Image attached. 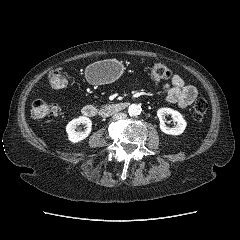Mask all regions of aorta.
I'll list each match as a JSON object with an SVG mask.
<instances>
[{
	"label": "aorta",
	"instance_id": "1",
	"mask_svg": "<svg viewBox=\"0 0 240 240\" xmlns=\"http://www.w3.org/2000/svg\"><path fill=\"white\" fill-rule=\"evenodd\" d=\"M141 111V106L138 104H131L128 108V113L130 116L140 115Z\"/></svg>",
	"mask_w": 240,
	"mask_h": 240
}]
</instances>
